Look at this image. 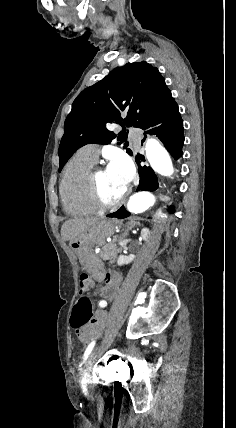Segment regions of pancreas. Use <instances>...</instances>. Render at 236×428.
I'll list each match as a JSON object with an SVG mask.
<instances>
[{
  "mask_svg": "<svg viewBox=\"0 0 236 428\" xmlns=\"http://www.w3.org/2000/svg\"><path fill=\"white\" fill-rule=\"evenodd\" d=\"M116 254V240H113V242H110V244H106V246H101L98 256H100L102 260H114V258H116Z\"/></svg>",
  "mask_w": 236,
  "mask_h": 428,
  "instance_id": "pancreas-1",
  "label": "pancreas"
}]
</instances>
